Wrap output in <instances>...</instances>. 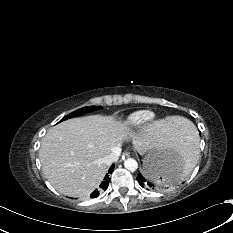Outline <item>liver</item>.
<instances>
[{
  "label": "liver",
  "mask_w": 233,
  "mask_h": 233,
  "mask_svg": "<svg viewBox=\"0 0 233 233\" xmlns=\"http://www.w3.org/2000/svg\"><path fill=\"white\" fill-rule=\"evenodd\" d=\"M183 120L170 112L144 123L141 134L132 135L134 148L144 154L156 145L174 146L176 136L183 130ZM130 134L127 122L101 115L59 123L41 141L39 158L43 173L61 194L88 196L108 171L105 158Z\"/></svg>",
  "instance_id": "6515ba94"
}]
</instances>
